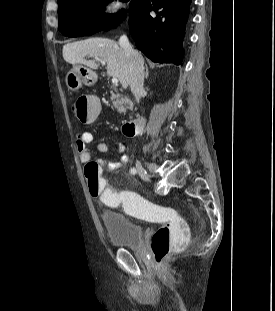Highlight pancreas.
<instances>
[{
	"instance_id": "pancreas-1",
	"label": "pancreas",
	"mask_w": 275,
	"mask_h": 311,
	"mask_svg": "<svg viewBox=\"0 0 275 311\" xmlns=\"http://www.w3.org/2000/svg\"><path fill=\"white\" fill-rule=\"evenodd\" d=\"M111 100L115 108L120 113H125L127 108H130V100L120 94L112 93Z\"/></svg>"
}]
</instances>
